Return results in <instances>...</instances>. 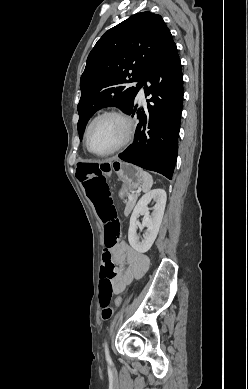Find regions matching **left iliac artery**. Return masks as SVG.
Segmentation results:
<instances>
[{"mask_svg": "<svg viewBox=\"0 0 248 389\" xmlns=\"http://www.w3.org/2000/svg\"><path fill=\"white\" fill-rule=\"evenodd\" d=\"M104 347H105V356H106V360H107V361H111L110 354H109V349H108V345H107V342H106V341H105Z\"/></svg>", "mask_w": 248, "mask_h": 389, "instance_id": "44dca946", "label": "left iliac artery"}]
</instances>
